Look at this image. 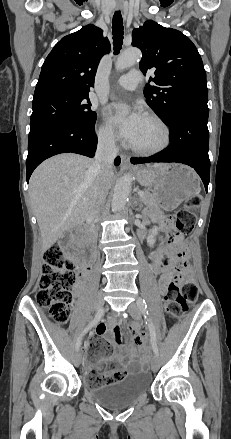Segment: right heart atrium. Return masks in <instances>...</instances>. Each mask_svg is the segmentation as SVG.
Here are the masks:
<instances>
[{
    "instance_id": "obj_1",
    "label": "right heart atrium",
    "mask_w": 231,
    "mask_h": 439,
    "mask_svg": "<svg viewBox=\"0 0 231 439\" xmlns=\"http://www.w3.org/2000/svg\"><path fill=\"white\" fill-rule=\"evenodd\" d=\"M97 138L101 145L113 147L116 144V136L113 129L106 123H101L97 129Z\"/></svg>"
}]
</instances>
